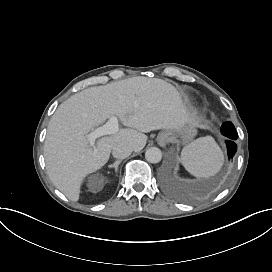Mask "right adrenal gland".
<instances>
[{
	"mask_svg": "<svg viewBox=\"0 0 272 272\" xmlns=\"http://www.w3.org/2000/svg\"><path fill=\"white\" fill-rule=\"evenodd\" d=\"M121 163V160H117L114 164H112V165H109L108 167L109 168H115V171H117L118 170V165Z\"/></svg>",
	"mask_w": 272,
	"mask_h": 272,
	"instance_id": "right-adrenal-gland-1",
	"label": "right adrenal gland"
}]
</instances>
